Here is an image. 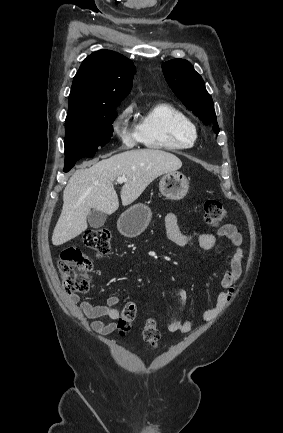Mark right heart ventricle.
I'll use <instances>...</instances> for the list:
<instances>
[{
	"instance_id": "obj_1",
	"label": "right heart ventricle",
	"mask_w": 283,
	"mask_h": 433,
	"mask_svg": "<svg viewBox=\"0 0 283 433\" xmlns=\"http://www.w3.org/2000/svg\"><path fill=\"white\" fill-rule=\"evenodd\" d=\"M191 125V118L180 109L167 103H157L140 115L136 129L147 147L177 151L192 146L180 138L181 129Z\"/></svg>"
}]
</instances>
